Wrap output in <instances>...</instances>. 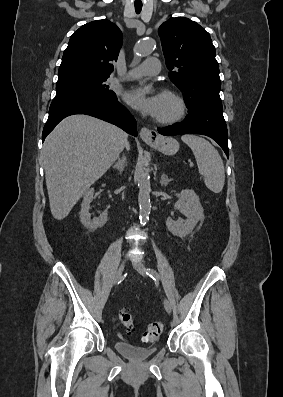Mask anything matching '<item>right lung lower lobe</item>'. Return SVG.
Here are the masks:
<instances>
[{
  "label": "right lung lower lobe",
  "mask_w": 283,
  "mask_h": 397,
  "mask_svg": "<svg viewBox=\"0 0 283 397\" xmlns=\"http://www.w3.org/2000/svg\"><path fill=\"white\" fill-rule=\"evenodd\" d=\"M73 114H87L102 119L137 136L135 119L117 99L109 100L90 94L72 93L55 96L53 99L43 129L42 141L62 119Z\"/></svg>",
  "instance_id": "obj_1"
}]
</instances>
